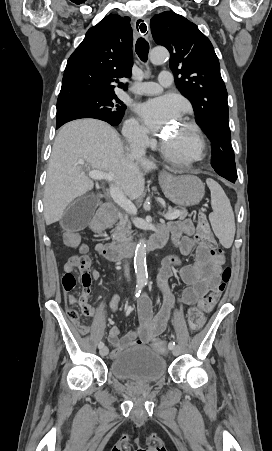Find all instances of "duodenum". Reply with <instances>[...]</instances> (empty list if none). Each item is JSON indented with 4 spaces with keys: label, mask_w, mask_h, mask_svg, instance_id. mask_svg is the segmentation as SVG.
<instances>
[{
    "label": "duodenum",
    "mask_w": 272,
    "mask_h": 451,
    "mask_svg": "<svg viewBox=\"0 0 272 451\" xmlns=\"http://www.w3.org/2000/svg\"><path fill=\"white\" fill-rule=\"evenodd\" d=\"M118 217V211L112 204H104L92 222L94 231H101L113 224ZM165 240L160 236H153L147 243L148 250H155L164 245ZM135 251V246L106 245L100 249V254L107 260L120 261L131 256Z\"/></svg>",
    "instance_id": "duodenum-1"
}]
</instances>
